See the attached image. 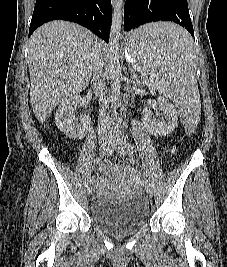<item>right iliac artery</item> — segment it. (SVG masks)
<instances>
[{
  "instance_id": "1",
  "label": "right iliac artery",
  "mask_w": 227,
  "mask_h": 267,
  "mask_svg": "<svg viewBox=\"0 0 227 267\" xmlns=\"http://www.w3.org/2000/svg\"><path fill=\"white\" fill-rule=\"evenodd\" d=\"M106 154L103 153L102 155H100V157L97 159V164H99V166L102 164L103 158Z\"/></svg>"
}]
</instances>
